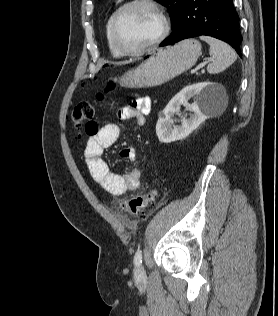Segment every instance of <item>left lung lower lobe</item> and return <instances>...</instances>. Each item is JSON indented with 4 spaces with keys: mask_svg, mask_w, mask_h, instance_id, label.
I'll return each mask as SVG.
<instances>
[{
    "mask_svg": "<svg viewBox=\"0 0 278 316\" xmlns=\"http://www.w3.org/2000/svg\"><path fill=\"white\" fill-rule=\"evenodd\" d=\"M202 35L227 42L241 56L239 17L232 0H184L172 33L160 46Z\"/></svg>",
    "mask_w": 278,
    "mask_h": 316,
    "instance_id": "0a47b994",
    "label": "left lung lower lobe"
}]
</instances>
